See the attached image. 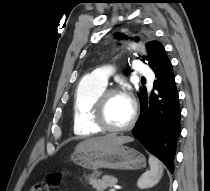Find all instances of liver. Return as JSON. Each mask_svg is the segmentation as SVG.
Segmentation results:
<instances>
[{
    "mask_svg": "<svg viewBox=\"0 0 210 191\" xmlns=\"http://www.w3.org/2000/svg\"><path fill=\"white\" fill-rule=\"evenodd\" d=\"M133 138L129 136H117L114 134H108L106 136L94 137L86 139L80 142L76 146V150H93L108 148L116 145L132 142Z\"/></svg>",
    "mask_w": 210,
    "mask_h": 191,
    "instance_id": "obj_1",
    "label": "liver"
}]
</instances>
